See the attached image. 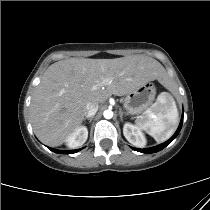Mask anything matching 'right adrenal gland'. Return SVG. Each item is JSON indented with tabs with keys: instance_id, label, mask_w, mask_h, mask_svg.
Segmentation results:
<instances>
[{
	"instance_id": "obj_1",
	"label": "right adrenal gland",
	"mask_w": 210,
	"mask_h": 210,
	"mask_svg": "<svg viewBox=\"0 0 210 210\" xmlns=\"http://www.w3.org/2000/svg\"><path fill=\"white\" fill-rule=\"evenodd\" d=\"M93 116L92 117H86V118H84V121L86 120V119H88L89 120V122L91 123L92 122V120H93Z\"/></svg>"
}]
</instances>
